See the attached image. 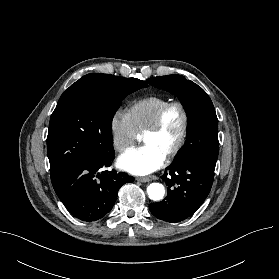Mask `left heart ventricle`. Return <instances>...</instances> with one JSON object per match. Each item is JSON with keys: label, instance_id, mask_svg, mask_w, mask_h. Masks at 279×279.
Masks as SVG:
<instances>
[{"label": "left heart ventricle", "instance_id": "b2bd125f", "mask_svg": "<svg viewBox=\"0 0 279 279\" xmlns=\"http://www.w3.org/2000/svg\"><path fill=\"white\" fill-rule=\"evenodd\" d=\"M182 129V114L177 107L171 108L159 131L144 136L145 144L152 145L165 156L175 146Z\"/></svg>", "mask_w": 279, "mask_h": 279}]
</instances>
